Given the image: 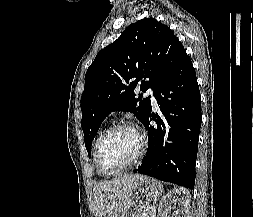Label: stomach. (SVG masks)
Instances as JSON below:
<instances>
[{
  "label": "stomach",
  "mask_w": 253,
  "mask_h": 217,
  "mask_svg": "<svg viewBox=\"0 0 253 217\" xmlns=\"http://www.w3.org/2000/svg\"><path fill=\"white\" fill-rule=\"evenodd\" d=\"M162 190L163 187L159 181L144 176L135 184L131 199L123 208L119 217H136L161 195Z\"/></svg>",
  "instance_id": "stomach-1"
}]
</instances>
